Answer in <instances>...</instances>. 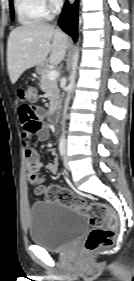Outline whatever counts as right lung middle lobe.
I'll list each match as a JSON object with an SVG mask.
<instances>
[{
    "instance_id": "obj_1",
    "label": "right lung middle lobe",
    "mask_w": 134,
    "mask_h": 281,
    "mask_svg": "<svg viewBox=\"0 0 134 281\" xmlns=\"http://www.w3.org/2000/svg\"><path fill=\"white\" fill-rule=\"evenodd\" d=\"M10 9H11V17H12V20L14 18V9H13V5H12V0H10Z\"/></svg>"
}]
</instances>
